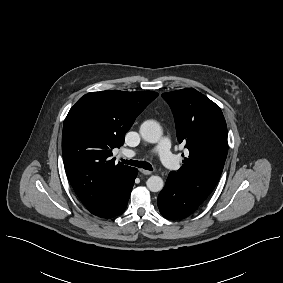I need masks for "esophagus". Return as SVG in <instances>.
<instances>
[{"label": "esophagus", "instance_id": "1", "mask_svg": "<svg viewBox=\"0 0 283 283\" xmlns=\"http://www.w3.org/2000/svg\"><path fill=\"white\" fill-rule=\"evenodd\" d=\"M140 172L144 175H151V173H152L151 171L146 170V169H140Z\"/></svg>", "mask_w": 283, "mask_h": 283}]
</instances>
